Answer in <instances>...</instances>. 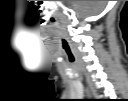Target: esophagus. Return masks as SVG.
I'll use <instances>...</instances> for the list:
<instances>
[{"instance_id": "obj_1", "label": "esophagus", "mask_w": 128, "mask_h": 101, "mask_svg": "<svg viewBox=\"0 0 128 101\" xmlns=\"http://www.w3.org/2000/svg\"><path fill=\"white\" fill-rule=\"evenodd\" d=\"M88 96H91V94H90V93H88Z\"/></svg>"}]
</instances>
